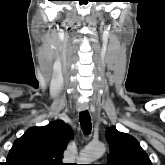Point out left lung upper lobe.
<instances>
[{
    "label": "left lung upper lobe",
    "instance_id": "1",
    "mask_svg": "<svg viewBox=\"0 0 165 165\" xmlns=\"http://www.w3.org/2000/svg\"><path fill=\"white\" fill-rule=\"evenodd\" d=\"M110 146L106 165H152L135 138L110 127L105 134Z\"/></svg>",
    "mask_w": 165,
    "mask_h": 165
}]
</instances>
